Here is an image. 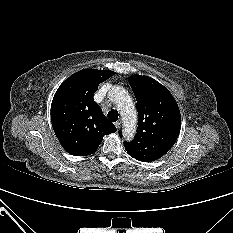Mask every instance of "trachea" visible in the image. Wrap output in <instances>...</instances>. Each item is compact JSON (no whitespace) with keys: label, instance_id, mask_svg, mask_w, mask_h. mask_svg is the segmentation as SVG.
Returning a JSON list of instances; mask_svg holds the SVG:
<instances>
[{"label":"trachea","instance_id":"trachea-1","mask_svg":"<svg viewBox=\"0 0 233 233\" xmlns=\"http://www.w3.org/2000/svg\"><path fill=\"white\" fill-rule=\"evenodd\" d=\"M118 116H119L118 112L114 109L110 110L107 114L108 119L112 122H116L118 120Z\"/></svg>","mask_w":233,"mask_h":233}]
</instances>
